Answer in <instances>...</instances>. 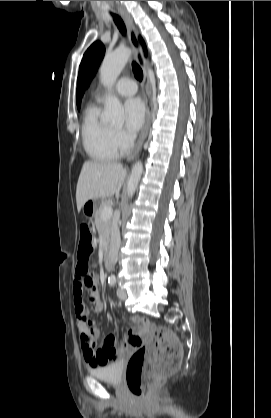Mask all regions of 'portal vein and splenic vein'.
Here are the masks:
<instances>
[{
    "label": "portal vein and splenic vein",
    "instance_id": "18ae733b",
    "mask_svg": "<svg viewBox=\"0 0 271 418\" xmlns=\"http://www.w3.org/2000/svg\"><path fill=\"white\" fill-rule=\"evenodd\" d=\"M112 213H113V209H112L111 205L106 206L103 209L102 214H101L102 220L106 221V220L110 219L111 216H112Z\"/></svg>",
    "mask_w": 271,
    "mask_h": 418
}]
</instances>
